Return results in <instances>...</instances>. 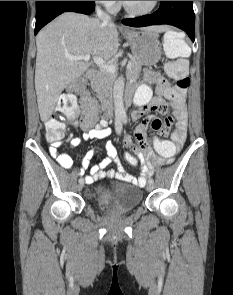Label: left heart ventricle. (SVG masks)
<instances>
[{
	"mask_svg": "<svg viewBox=\"0 0 233 295\" xmlns=\"http://www.w3.org/2000/svg\"><path fill=\"white\" fill-rule=\"evenodd\" d=\"M126 3L135 11H145L152 6L153 1H126Z\"/></svg>",
	"mask_w": 233,
	"mask_h": 295,
	"instance_id": "obj_1",
	"label": "left heart ventricle"
}]
</instances>
